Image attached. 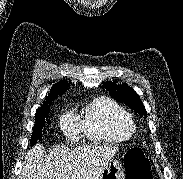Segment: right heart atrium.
I'll return each mask as SVG.
<instances>
[{
    "label": "right heart atrium",
    "mask_w": 183,
    "mask_h": 179,
    "mask_svg": "<svg viewBox=\"0 0 183 179\" xmlns=\"http://www.w3.org/2000/svg\"><path fill=\"white\" fill-rule=\"evenodd\" d=\"M61 126L63 130L69 135H75L77 132V123L74 119H72L69 115H63L61 117Z\"/></svg>",
    "instance_id": "1"
}]
</instances>
